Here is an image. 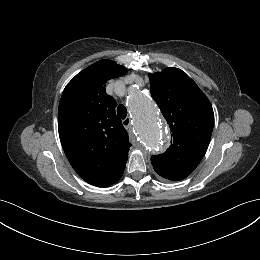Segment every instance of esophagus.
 Instances as JSON below:
<instances>
[{
	"mask_svg": "<svg viewBox=\"0 0 260 260\" xmlns=\"http://www.w3.org/2000/svg\"><path fill=\"white\" fill-rule=\"evenodd\" d=\"M122 123H123V126H124L126 129H128V128H130V126H131V119H130L129 117H127L126 119H124V120L122 121Z\"/></svg>",
	"mask_w": 260,
	"mask_h": 260,
	"instance_id": "1",
	"label": "esophagus"
}]
</instances>
